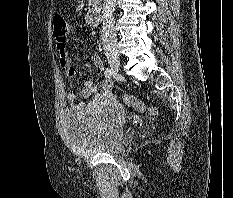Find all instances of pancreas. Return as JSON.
Listing matches in <instances>:
<instances>
[{"instance_id": "1", "label": "pancreas", "mask_w": 233, "mask_h": 198, "mask_svg": "<svg viewBox=\"0 0 233 198\" xmlns=\"http://www.w3.org/2000/svg\"><path fill=\"white\" fill-rule=\"evenodd\" d=\"M101 0H88V5L89 6H99Z\"/></svg>"}]
</instances>
